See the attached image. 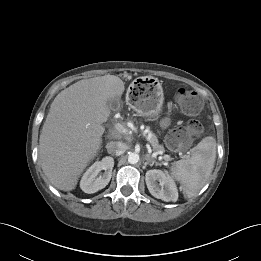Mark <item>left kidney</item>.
I'll list each match as a JSON object with an SVG mask.
<instances>
[{"label": "left kidney", "mask_w": 261, "mask_h": 261, "mask_svg": "<svg viewBox=\"0 0 261 261\" xmlns=\"http://www.w3.org/2000/svg\"><path fill=\"white\" fill-rule=\"evenodd\" d=\"M145 181L152 196L165 202H176L178 190L173 178L161 170H149L146 172Z\"/></svg>", "instance_id": "1"}]
</instances>
